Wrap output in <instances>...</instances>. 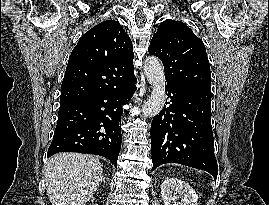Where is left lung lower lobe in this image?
I'll return each instance as SVG.
<instances>
[{
	"mask_svg": "<svg viewBox=\"0 0 269 205\" xmlns=\"http://www.w3.org/2000/svg\"><path fill=\"white\" fill-rule=\"evenodd\" d=\"M171 103L151 124L152 170L178 163L209 172L216 180L217 161L211 128V90L166 85Z\"/></svg>",
	"mask_w": 269,
	"mask_h": 205,
	"instance_id": "left-lung-lower-lobe-1",
	"label": "left lung lower lobe"
}]
</instances>
